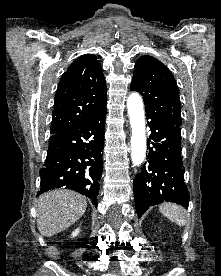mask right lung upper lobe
<instances>
[{"mask_svg":"<svg viewBox=\"0 0 221 276\" xmlns=\"http://www.w3.org/2000/svg\"><path fill=\"white\" fill-rule=\"evenodd\" d=\"M106 82L97 57L85 54L62 75L52 112L51 138L79 127L106 107Z\"/></svg>","mask_w":221,"mask_h":276,"instance_id":"right-lung-upper-lobe-1","label":"right lung upper lobe"}]
</instances>
